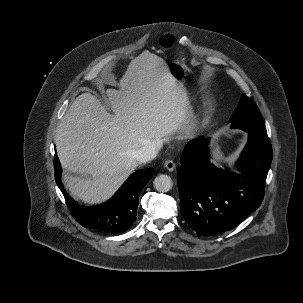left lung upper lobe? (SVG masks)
Returning a JSON list of instances; mask_svg holds the SVG:
<instances>
[{
    "instance_id": "1",
    "label": "left lung upper lobe",
    "mask_w": 303,
    "mask_h": 303,
    "mask_svg": "<svg viewBox=\"0 0 303 303\" xmlns=\"http://www.w3.org/2000/svg\"><path fill=\"white\" fill-rule=\"evenodd\" d=\"M230 122L233 128H240L263 139H269L257 105L244 94L231 116Z\"/></svg>"
}]
</instances>
